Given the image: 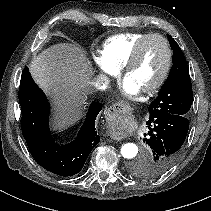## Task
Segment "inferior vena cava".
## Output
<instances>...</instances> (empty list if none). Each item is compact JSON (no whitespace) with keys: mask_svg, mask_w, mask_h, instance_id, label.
<instances>
[{"mask_svg":"<svg viewBox=\"0 0 211 211\" xmlns=\"http://www.w3.org/2000/svg\"><path fill=\"white\" fill-rule=\"evenodd\" d=\"M93 85L97 89H102L103 87H107L108 83L106 81H104V82L96 81V82L93 83Z\"/></svg>","mask_w":211,"mask_h":211,"instance_id":"602c4592","label":"inferior vena cava"}]
</instances>
